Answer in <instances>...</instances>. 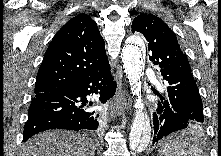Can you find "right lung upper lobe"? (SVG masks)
<instances>
[{"label": "right lung upper lobe", "instance_id": "1", "mask_svg": "<svg viewBox=\"0 0 221 156\" xmlns=\"http://www.w3.org/2000/svg\"><path fill=\"white\" fill-rule=\"evenodd\" d=\"M108 64L96 22L79 14L63 25L49 44L38 70L35 94L62 91Z\"/></svg>", "mask_w": 221, "mask_h": 156}]
</instances>
